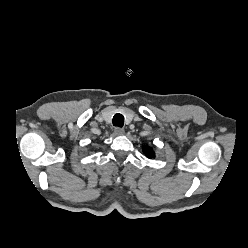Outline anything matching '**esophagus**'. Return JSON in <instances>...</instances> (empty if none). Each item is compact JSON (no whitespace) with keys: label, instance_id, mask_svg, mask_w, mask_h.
Here are the masks:
<instances>
[{"label":"esophagus","instance_id":"34e87169","mask_svg":"<svg viewBox=\"0 0 248 248\" xmlns=\"http://www.w3.org/2000/svg\"><path fill=\"white\" fill-rule=\"evenodd\" d=\"M114 133H115V135H118V136L123 135L124 129L117 127V128H115Z\"/></svg>","mask_w":248,"mask_h":248}]
</instances>
